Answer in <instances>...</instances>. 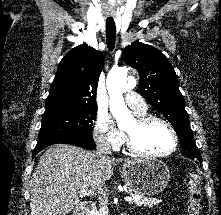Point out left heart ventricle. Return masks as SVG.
<instances>
[{
	"label": "left heart ventricle",
	"mask_w": 221,
	"mask_h": 215,
	"mask_svg": "<svg viewBox=\"0 0 221 215\" xmlns=\"http://www.w3.org/2000/svg\"><path fill=\"white\" fill-rule=\"evenodd\" d=\"M126 132L133 137L141 150L148 153L167 152L173 145L171 133L164 124L157 121L139 127L134 120L127 126Z\"/></svg>",
	"instance_id": "obj_1"
}]
</instances>
